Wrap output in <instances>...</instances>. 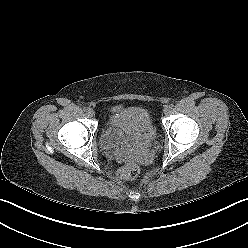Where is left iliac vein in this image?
Segmentation results:
<instances>
[{
    "mask_svg": "<svg viewBox=\"0 0 248 248\" xmlns=\"http://www.w3.org/2000/svg\"><path fill=\"white\" fill-rule=\"evenodd\" d=\"M170 111H171V107L168 106V105H166V106L163 108V112H164V114H166V115L169 114Z\"/></svg>",
    "mask_w": 248,
    "mask_h": 248,
    "instance_id": "obj_1",
    "label": "left iliac vein"
}]
</instances>
